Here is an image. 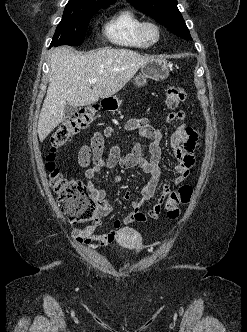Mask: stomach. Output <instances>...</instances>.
<instances>
[{"label": "stomach", "instance_id": "1", "mask_svg": "<svg viewBox=\"0 0 247 332\" xmlns=\"http://www.w3.org/2000/svg\"><path fill=\"white\" fill-rule=\"evenodd\" d=\"M169 75V65L165 59L155 58L150 60L141 68V73L134 79L136 86L141 87L146 84V79H154L157 81L165 80ZM121 105V100L117 97H112L109 100V107L107 109H116Z\"/></svg>", "mask_w": 247, "mask_h": 332}]
</instances>
